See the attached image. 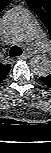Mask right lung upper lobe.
I'll use <instances>...</instances> for the list:
<instances>
[{"mask_svg": "<svg viewBox=\"0 0 51 153\" xmlns=\"http://www.w3.org/2000/svg\"><path fill=\"white\" fill-rule=\"evenodd\" d=\"M12 0H0V12L11 2ZM10 70V65H4L0 59V83L5 79Z\"/></svg>", "mask_w": 51, "mask_h": 153, "instance_id": "1", "label": "right lung upper lobe"}]
</instances>
